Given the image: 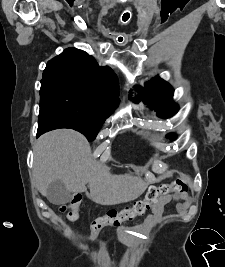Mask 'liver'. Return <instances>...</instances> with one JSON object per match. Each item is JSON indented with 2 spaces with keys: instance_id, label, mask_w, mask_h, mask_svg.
Listing matches in <instances>:
<instances>
[{
  "instance_id": "6515ba94",
  "label": "liver",
  "mask_w": 225,
  "mask_h": 267,
  "mask_svg": "<svg viewBox=\"0 0 225 267\" xmlns=\"http://www.w3.org/2000/svg\"><path fill=\"white\" fill-rule=\"evenodd\" d=\"M33 176L43 196H47L49 184L56 179L72 193L85 192L88 183L90 198L102 205L118 204L141 193H130L124 185H115L107 167L92 159L86 138L71 129L54 130L38 138Z\"/></svg>"
}]
</instances>
